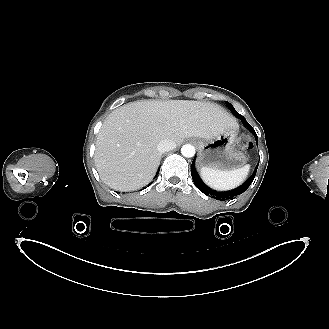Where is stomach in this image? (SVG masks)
<instances>
[{"instance_id": "1", "label": "stomach", "mask_w": 329, "mask_h": 329, "mask_svg": "<svg viewBox=\"0 0 329 329\" xmlns=\"http://www.w3.org/2000/svg\"><path fill=\"white\" fill-rule=\"evenodd\" d=\"M238 125L215 138L199 142L197 165L219 171H230L246 165L248 157L238 137Z\"/></svg>"}]
</instances>
